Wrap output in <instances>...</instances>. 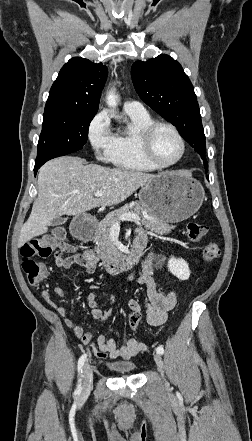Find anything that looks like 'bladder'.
I'll list each match as a JSON object with an SVG mask.
<instances>
[{"label": "bladder", "instance_id": "obj_1", "mask_svg": "<svg viewBox=\"0 0 252 441\" xmlns=\"http://www.w3.org/2000/svg\"><path fill=\"white\" fill-rule=\"evenodd\" d=\"M136 364L133 362L112 363L108 368L117 374H129L136 369Z\"/></svg>", "mask_w": 252, "mask_h": 441}]
</instances>
